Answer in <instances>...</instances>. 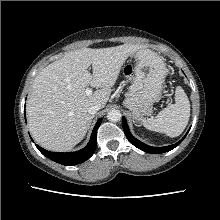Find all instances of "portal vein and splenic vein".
I'll return each instance as SVG.
<instances>
[{
	"instance_id": "obj_1",
	"label": "portal vein and splenic vein",
	"mask_w": 220,
	"mask_h": 220,
	"mask_svg": "<svg viewBox=\"0 0 220 220\" xmlns=\"http://www.w3.org/2000/svg\"><path fill=\"white\" fill-rule=\"evenodd\" d=\"M85 93L87 96H90L92 94V88H86Z\"/></svg>"
}]
</instances>
